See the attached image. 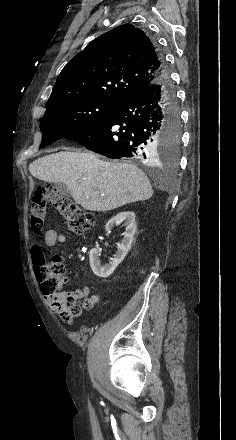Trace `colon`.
<instances>
[{"label":"colon","mask_w":236,"mask_h":440,"mask_svg":"<svg viewBox=\"0 0 236 440\" xmlns=\"http://www.w3.org/2000/svg\"><path fill=\"white\" fill-rule=\"evenodd\" d=\"M49 206H55L65 219L71 233L82 234L94 226L95 216L92 212L77 206L53 188H40L34 191L30 204L31 227L36 236H39L45 227L46 212ZM37 272L43 280V293L49 296L58 307L63 320L68 323L72 322V312L78 304L62 290V286L67 282L66 268L62 257L54 255L47 263H43L41 260Z\"/></svg>","instance_id":"5ec220e1"}]
</instances>
